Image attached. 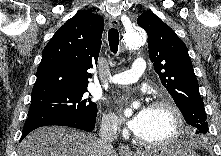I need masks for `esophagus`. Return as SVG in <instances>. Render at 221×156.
I'll use <instances>...</instances> for the list:
<instances>
[{"label":"esophagus","instance_id":"1","mask_svg":"<svg viewBox=\"0 0 221 156\" xmlns=\"http://www.w3.org/2000/svg\"><path fill=\"white\" fill-rule=\"evenodd\" d=\"M109 25L113 28H118L120 26L119 20L117 18H110L109 19ZM118 152L121 156H134L133 152L130 150V148L127 145H119Z\"/></svg>","mask_w":221,"mask_h":156}]
</instances>
